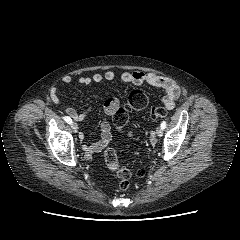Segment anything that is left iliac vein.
Wrapping results in <instances>:
<instances>
[{"label": "left iliac vein", "instance_id": "obj_1", "mask_svg": "<svg viewBox=\"0 0 240 240\" xmlns=\"http://www.w3.org/2000/svg\"><path fill=\"white\" fill-rule=\"evenodd\" d=\"M156 134L158 137H161L163 135V129L161 127H157Z\"/></svg>", "mask_w": 240, "mask_h": 240}]
</instances>
